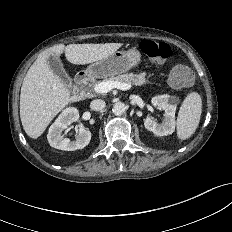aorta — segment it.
Returning a JSON list of instances; mask_svg holds the SVG:
<instances>
[{
  "mask_svg": "<svg viewBox=\"0 0 232 232\" xmlns=\"http://www.w3.org/2000/svg\"><path fill=\"white\" fill-rule=\"evenodd\" d=\"M112 111L115 115H122L126 111V106L122 102H117L113 105Z\"/></svg>",
  "mask_w": 232,
  "mask_h": 232,
  "instance_id": "1",
  "label": "aorta"
}]
</instances>
